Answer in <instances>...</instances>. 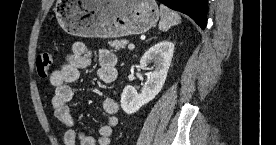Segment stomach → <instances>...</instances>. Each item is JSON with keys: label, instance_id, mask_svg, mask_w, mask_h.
Here are the masks:
<instances>
[{"label": "stomach", "instance_id": "stomach-1", "mask_svg": "<svg viewBox=\"0 0 276 145\" xmlns=\"http://www.w3.org/2000/svg\"><path fill=\"white\" fill-rule=\"evenodd\" d=\"M55 14L67 33L95 38L142 34L160 17L155 0H60Z\"/></svg>", "mask_w": 276, "mask_h": 145}]
</instances>
